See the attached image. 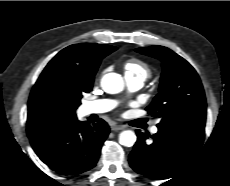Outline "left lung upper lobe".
<instances>
[{
	"label": "left lung upper lobe",
	"mask_w": 230,
	"mask_h": 186,
	"mask_svg": "<svg viewBox=\"0 0 230 186\" xmlns=\"http://www.w3.org/2000/svg\"><path fill=\"white\" fill-rule=\"evenodd\" d=\"M137 52L162 61L159 93L146 108L161 118L158 127H205L206 99L195 69L163 46L137 48Z\"/></svg>",
	"instance_id": "1"
}]
</instances>
